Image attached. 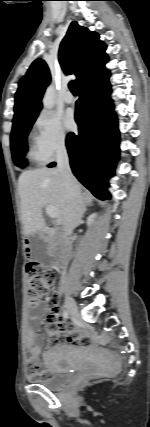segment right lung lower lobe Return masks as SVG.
Wrapping results in <instances>:
<instances>
[{
	"label": "right lung lower lobe",
	"instance_id": "98d812e1",
	"mask_svg": "<svg viewBox=\"0 0 150 427\" xmlns=\"http://www.w3.org/2000/svg\"><path fill=\"white\" fill-rule=\"evenodd\" d=\"M109 75L106 70L79 88L75 112L78 133H69L66 138L74 175L101 200L110 198L108 179L114 174L113 161L119 158V132L109 97Z\"/></svg>",
	"mask_w": 150,
	"mask_h": 427
}]
</instances>
